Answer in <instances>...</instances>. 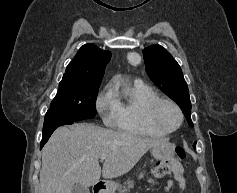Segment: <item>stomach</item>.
I'll use <instances>...</instances> for the list:
<instances>
[{
    "label": "stomach",
    "mask_w": 237,
    "mask_h": 193,
    "mask_svg": "<svg viewBox=\"0 0 237 193\" xmlns=\"http://www.w3.org/2000/svg\"><path fill=\"white\" fill-rule=\"evenodd\" d=\"M151 152L156 159H166L173 154V146L169 142L163 140L154 145ZM143 175V172H141L139 177L142 178ZM117 188L118 185L116 183H108L103 193H115Z\"/></svg>",
    "instance_id": "obj_1"
}]
</instances>
